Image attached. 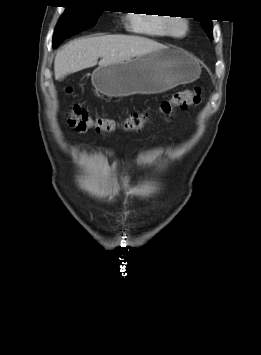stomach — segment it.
<instances>
[{"label":"stomach","mask_w":261,"mask_h":355,"mask_svg":"<svg viewBox=\"0 0 261 355\" xmlns=\"http://www.w3.org/2000/svg\"><path fill=\"white\" fill-rule=\"evenodd\" d=\"M199 61L175 47H166L129 60L99 65L92 83L108 97L158 94L199 78Z\"/></svg>","instance_id":"obj_1"}]
</instances>
